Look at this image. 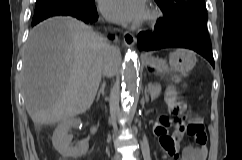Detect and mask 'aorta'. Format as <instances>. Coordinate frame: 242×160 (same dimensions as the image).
I'll return each mask as SVG.
<instances>
[{
	"label": "aorta",
	"instance_id": "762f6f07",
	"mask_svg": "<svg viewBox=\"0 0 242 160\" xmlns=\"http://www.w3.org/2000/svg\"><path fill=\"white\" fill-rule=\"evenodd\" d=\"M122 81L128 95L133 98L136 95L139 85V65L137 56L133 52H128L125 58Z\"/></svg>",
	"mask_w": 242,
	"mask_h": 160
}]
</instances>
